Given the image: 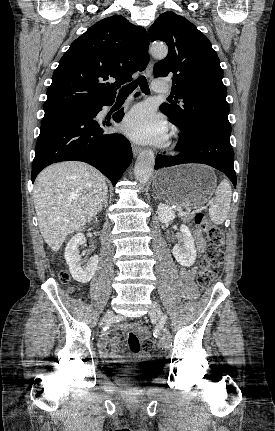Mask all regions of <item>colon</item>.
Returning a JSON list of instances; mask_svg holds the SVG:
<instances>
[{"label": "colon", "mask_w": 275, "mask_h": 431, "mask_svg": "<svg viewBox=\"0 0 275 431\" xmlns=\"http://www.w3.org/2000/svg\"><path fill=\"white\" fill-rule=\"evenodd\" d=\"M196 226L208 237V246L205 251L204 258L201 260L199 270L197 273V281L201 287L208 286L217 275V269L221 265L224 253V233L220 227L213 224L207 215L199 212L195 216ZM60 278L63 282H68L69 275L67 272L62 271ZM127 343L129 350L132 353L140 354L142 357H148L150 351L153 349L151 340L140 341L135 332H129L127 336Z\"/></svg>", "instance_id": "obj_1"}]
</instances>
